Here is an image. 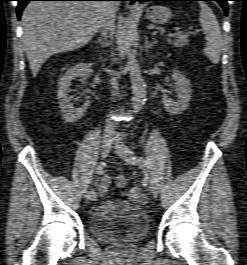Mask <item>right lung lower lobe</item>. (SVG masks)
Returning <instances> with one entry per match:
<instances>
[{"instance_id":"obj_1","label":"right lung lower lobe","mask_w":247,"mask_h":265,"mask_svg":"<svg viewBox=\"0 0 247 265\" xmlns=\"http://www.w3.org/2000/svg\"><path fill=\"white\" fill-rule=\"evenodd\" d=\"M17 16L18 19L21 17V13L29 1H102V0H17ZM113 1H125V0H113Z\"/></svg>"}]
</instances>
